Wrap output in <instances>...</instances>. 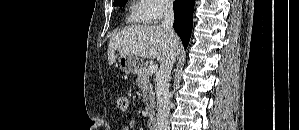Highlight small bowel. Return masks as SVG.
Masks as SVG:
<instances>
[{"instance_id":"1","label":"small bowel","mask_w":299,"mask_h":130,"mask_svg":"<svg viewBox=\"0 0 299 130\" xmlns=\"http://www.w3.org/2000/svg\"><path fill=\"white\" fill-rule=\"evenodd\" d=\"M135 126H136L135 121L131 120L127 123L126 126L122 128V130H133Z\"/></svg>"}]
</instances>
